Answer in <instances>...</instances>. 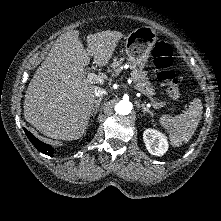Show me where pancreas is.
<instances>
[{
    "instance_id": "cf45deb5",
    "label": "pancreas",
    "mask_w": 221,
    "mask_h": 221,
    "mask_svg": "<svg viewBox=\"0 0 221 221\" xmlns=\"http://www.w3.org/2000/svg\"><path fill=\"white\" fill-rule=\"evenodd\" d=\"M123 63V59H114L111 67L113 68L114 73L117 75L120 71L121 64ZM131 68V76L133 78L135 89L141 91L143 94L150 97L152 102H155L152 95H154V88L152 84L148 81L147 74L142 70L138 69L136 65L130 64ZM155 108H161L164 106L163 102H155Z\"/></svg>"
}]
</instances>
